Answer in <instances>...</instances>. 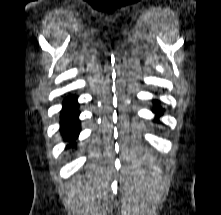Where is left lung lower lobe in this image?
<instances>
[{"instance_id": "left-lung-lower-lobe-1", "label": "left lung lower lobe", "mask_w": 221, "mask_h": 215, "mask_svg": "<svg viewBox=\"0 0 221 215\" xmlns=\"http://www.w3.org/2000/svg\"><path fill=\"white\" fill-rule=\"evenodd\" d=\"M158 104H159V102L156 101V106H155L154 109H153V112H154V113H157V118H158L159 116L163 115V113H164L163 109H159Z\"/></svg>"}]
</instances>
